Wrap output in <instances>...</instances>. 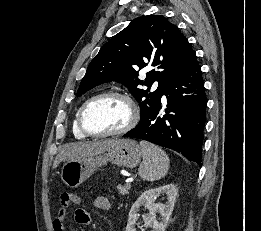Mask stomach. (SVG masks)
Listing matches in <instances>:
<instances>
[{
	"label": "stomach",
	"instance_id": "stomach-1",
	"mask_svg": "<svg viewBox=\"0 0 261 231\" xmlns=\"http://www.w3.org/2000/svg\"><path fill=\"white\" fill-rule=\"evenodd\" d=\"M142 156L141 147L135 140H121L102 154L85 160L67 161L62 167L61 179L68 187L75 188L108 162L135 168L141 162Z\"/></svg>",
	"mask_w": 261,
	"mask_h": 231
}]
</instances>
